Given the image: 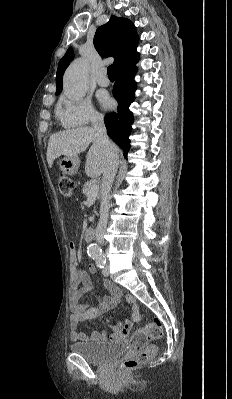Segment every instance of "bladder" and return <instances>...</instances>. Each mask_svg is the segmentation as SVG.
<instances>
[{
    "mask_svg": "<svg viewBox=\"0 0 232 399\" xmlns=\"http://www.w3.org/2000/svg\"><path fill=\"white\" fill-rule=\"evenodd\" d=\"M70 349L88 362L99 364L123 355L126 347L120 342L83 341L72 343Z\"/></svg>",
    "mask_w": 232,
    "mask_h": 399,
    "instance_id": "31cf9c89",
    "label": "bladder"
}]
</instances>
